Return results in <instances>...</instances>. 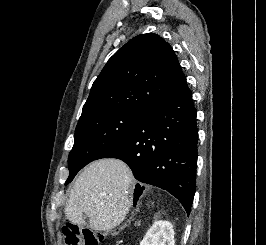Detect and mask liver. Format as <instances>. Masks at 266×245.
I'll list each match as a JSON object with an SVG mask.
<instances>
[{
  "instance_id": "obj_1",
  "label": "liver",
  "mask_w": 266,
  "mask_h": 245,
  "mask_svg": "<svg viewBox=\"0 0 266 245\" xmlns=\"http://www.w3.org/2000/svg\"><path fill=\"white\" fill-rule=\"evenodd\" d=\"M133 175L119 159H99L76 179L64 209L65 217L73 225H86L89 217L93 231H111L124 221L130 207L128 197Z\"/></svg>"
}]
</instances>
